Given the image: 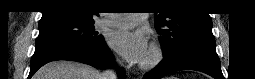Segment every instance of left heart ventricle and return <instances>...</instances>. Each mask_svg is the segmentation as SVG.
I'll return each instance as SVG.
<instances>
[{"label": "left heart ventricle", "instance_id": "obj_1", "mask_svg": "<svg viewBox=\"0 0 255 79\" xmlns=\"http://www.w3.org/2000/svg\"><path fill=\"white\" fill-rule=\"evenodd\" d=\"M148 56H149V54H147V56L145 57V59H147V58H148ZM145 59H144V60H145Z\"/></svg>", "mask_w": 255, "mask_h": 79}]
</instances>
